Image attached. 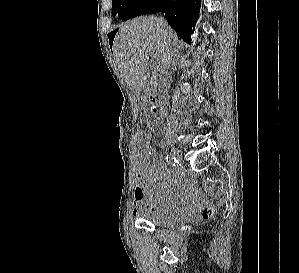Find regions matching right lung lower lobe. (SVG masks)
<instances>
[{"label": "right lung lower lobe", "instance_id": "obj_1", "mask_svg": "<svg viewBox=\"0 0 299 273\" xmlns=\"http://www.w3.org/2000/svg\"><path fill=\"white\" fill-rule=\"evenodd\" d=\"M201 0H136L122 16L128 20L138 15L164 12L170 26L185 42L191 43L195 21L199 16Z\"/></svg>", "mask_w": 299, "mask_h": 273}]
</instances>
